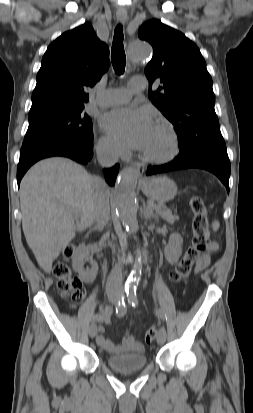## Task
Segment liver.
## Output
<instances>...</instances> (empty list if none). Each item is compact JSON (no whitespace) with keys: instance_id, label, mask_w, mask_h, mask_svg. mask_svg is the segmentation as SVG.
<instances>
[{"instance_id":"6515ba94","label":"liver","mask_w":253,"mask_h":413,"mask_svg":"<svg viewBox=\"0 0 253 413\" xmlns=\"http://www.w3.org/2000/svg\"><path fill=\"white\" fill-rule=\"evenodd\" d=\"M96 177L61 157L32 166L20 184L22 228L40 267L50 273L53 261L94 222ZM78 212L80 220L75 224Z\"/></svg>"}]
</instances>
